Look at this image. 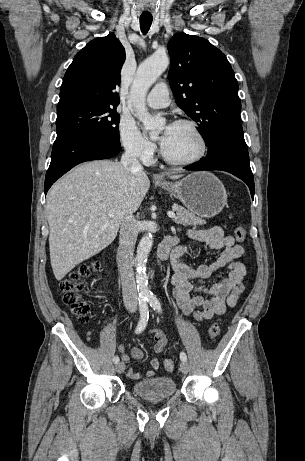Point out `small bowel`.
I'll return each instance as SVG.
<instances>
[{"label":"small bowel","mask_w":305,"mask_h":461,"mask_svg":"<svg viewBox=\"0 0 305 461\" xmlns=\"http://www.w3.org/2000/svg\"><path fill=\"white\" fill-rule=\"evenodd\" d=\"M188 236L192 241L204 243L210 249L222 250L215 261L196 268L180 261L188 252V246H177L171 254V266L174 270L171 283L178 307L185 315L192 316L197 321H206L236 305L245 289L243 279L247 274V266L240 259H243L246 253L241 245L235 243L234 237L226 235L218 226L192 229L188 231ZM223 269L227 273L219 276ZM152 333L154 350L161 353L169 341V336L161 329H155ZM119 350L122 360L128 361L125 347L120 345ZM130 354L136 360L144 356L138 347H132ZM150 364L152 369L147 371L146 375L152 377L160 367V360L153 357ZM127 374L133 379L142 376L133 368H129Z\"/></svg>","instance_id":"c3829d8e"}]
</instances>
